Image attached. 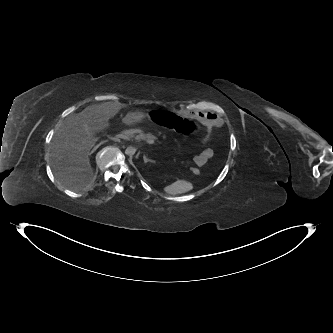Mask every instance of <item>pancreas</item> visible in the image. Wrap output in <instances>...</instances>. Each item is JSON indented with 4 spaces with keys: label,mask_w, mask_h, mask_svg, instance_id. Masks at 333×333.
I'll return each instance as SVG.
<instances>
[{
    "label": "pancreas",
    "mask_w": 333,
    "mask_h": 333,
    "mask_svg": "<svg viewBox=\"0 0 333 333\" xmlns=\"http://www.w3.org/2000/svg\"><path fill=\"white\" fill-rule=\"evenodd\" d=\"M128 137L134 138L136 141H149L156 140L157 138L150 133H144L139 129H134L126 132Z\"/></svg>",
    "instance_id": "pancreas-1"
}]
</instances>
